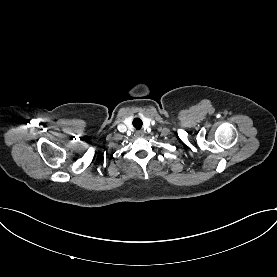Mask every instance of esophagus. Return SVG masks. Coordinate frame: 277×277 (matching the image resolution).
I'll list each match as a JSON object with an SVG mask.
<instances>
[{"instance_id":"esophagus-1","label":"esophagus","mask_w":277,"mask_h":277,"mask_svg":"<svg viewBox=\"0 0 277 277\" xmlns=\"http://www.w3.org/2000/svg\"><path fill=\"white\" fill-rule=\"evenodd\" d=\"M136 136L137 137H143L144 136V132L143 131H137L136 132Z\"/></svg>"}]
</instances>
